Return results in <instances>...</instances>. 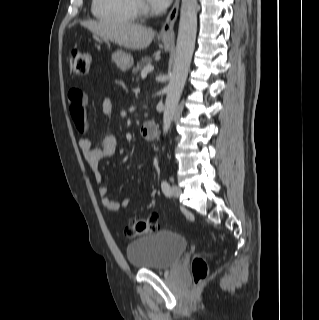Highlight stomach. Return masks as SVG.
Wrapping results in <instances>:
<instances>
[{
    "instance_id": "1",
    "label": "stomach",
    "mask_w": 319,
    "mask_h": 320,
    "mask_svg": "<svg viewBox=\"0 0 319 320\" xmlns=\"http://www.w3.org/2000/svg\"><path fill=\"white\" fill-rule=\"evenodd\" d=\"M162 41L164 43L165 49L168 50L170 48V44L167 41H165L164 39ZM112 60L115 62L117 67L123 72L130 69L133 65V58H132L131 54L126 53L122 50H117L112 55Z\"/></svg>"
}]
</instances>
